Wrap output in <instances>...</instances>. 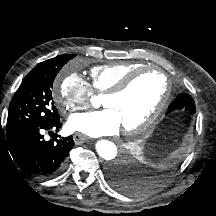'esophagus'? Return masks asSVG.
<instances>
[{"mask_svg": "<svg viewBox=\"0 0 216 216\" xmlns=\"http://www.w3.org/2000/svg\"><path fill=\"white\" fill-rule=\"evenodd\" d=\"M73 140L75 143L81 144V143H84L85 141H87V137L82 133H75L73 135Z\"/></svg>", "mask_w": 216, "mask_h": 216, "instance_id": "34e87169", "label": "esophagus"}]
</instances>
